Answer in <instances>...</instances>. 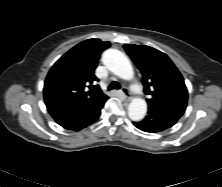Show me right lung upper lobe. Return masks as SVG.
<instances>
[{
    "label": "right lung upper lobe",
    "instance_id": "right-lung-upper-lobe-1",
    "mask_svg": "<svg viewBox=\"0 0 222 187\" xmlns=\"http://www.w3.org/2000/svg\"><path fill=\"white\" fill-rule=\"evenodd\" d=\"M110 46L100 39H88L65 53L50 69L43 89L45 101L88 107L106 101L94 75L101 53ZM88 87V89H86Z\"/></svg>",
    "mask_w": 222,
    "mask_h": 187
}]
</instances>
